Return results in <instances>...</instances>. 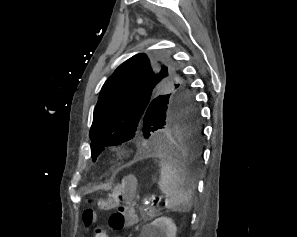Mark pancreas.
<instances>
[{
  "label": "pancreas",
  "instance_id": "pancreas-1",
  "mask_svg": "<svg viewBox=\"0 0 297 237\" xmlns=\"http://www.w3.org/2000/svg\"><path fill=\"white\" fill-rule=\"evenodd\" d=\"M159 210H156L155 208H150L149 211L142 213V215L146 218L152 219L158 214Z\"/></svg>",
  "mask_w": 297,
  "mask_h": 237
}]
</instances>
